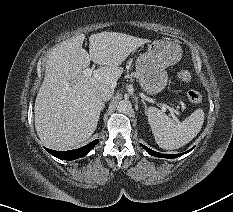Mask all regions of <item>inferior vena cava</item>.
<instances>
[{
  "mask_svg": "<svg viewBox=\"0 0 233 212\" xmlns=\"http://www.w3.org/2000/svg\"><path fill=\"white\" fill-rule=\"evenodd\" d=\"M97 94L101 100L108 101L114 94V89L107 85H103L98 89Z\"/></svg>",
  "mask_w": 233,
  "mask_h": 212,
  "instance_id": "inferior-vena-cava-1",
  "label": "inferior vena cava"
}]
</instances>
